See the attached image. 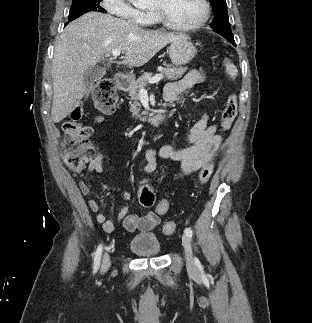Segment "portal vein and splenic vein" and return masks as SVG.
I'll return each instance as SVG.
<instances>
[{
    "label": "portal vein and splenic vein",
    "instance_id": "1",
    "mask_svg": "<svg viewBox=\"0 0 312 323\" xmlns=\"http://www.w3.org/2000/svg\"><path fill=\"white\" fill-rule=\"evenodd\" d=\"M121 52L119 50H113V52H110V54H106L105 58H109V56H113V58H117V56H120ZM163 76L162 74H158V76H155V78H152L150 80L149 84H157V82H160L162 80ZM140 94H147V90H144V88H141Z\"/></svg>",
    "mask_w": 312,
    "mask_h": 323
}]
</instances>
